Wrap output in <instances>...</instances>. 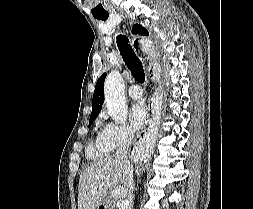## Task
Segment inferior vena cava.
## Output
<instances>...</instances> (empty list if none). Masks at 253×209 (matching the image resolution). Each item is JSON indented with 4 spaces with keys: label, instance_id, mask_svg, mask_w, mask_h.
Wrapping results in <instances>:
<instances>
[{
    "label": "inferior vena cava",
    "instance_id": "1",
    "mask_svg": "<svg viewBox=\"0 0 253 209\" xmlns=\"http://www.w3.org/2000/svg\"><path fill=\"white\" fill-rule=\"evenodd\" d=\"M134 138V133L129 130L127 132H125V134L122 137L121 143L118 146L116 153H115V157L122 159L128 166V171H129V199L130 201H132V192L134 190V182H133V169L132 166L129 162V160L127 159V152L128 149L132 143V140ZM129 209H131L129 207Z\"/></svg>",
    "mask_w": 253,
    "mask_h": 209
}]
</instances>
